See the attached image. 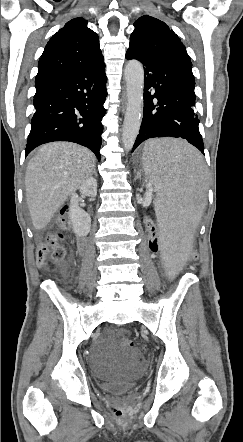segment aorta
Wrapping results in <instances>:
<instances>
[{"label":"aorta","mask_w":243,"mask_h":442,"mask_svg":"<svg viewBox=\"0 0 243 442\" xmlns=\"http://www.w3.org/2000/svg\"><path fill=\"white\" fill-rule=\"evenodd\" d=\"M127 107L122 130V145L132 149L141 126L143 112L144 70L140 62L129 61L124 69Z\"/></svg>","instance_id":"aorta-1"}]
</instances>
